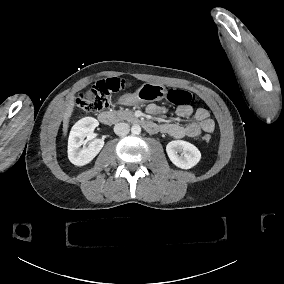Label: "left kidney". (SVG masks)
Segmentation results:
<instances>
[{"label": "left kidney", "mask_w": 284, "mask_h": 284, "mask_svg": "<svg viewBox=\"0 0 284 284\" xmlns=\"http://www.w3.org/2000/svg\"><path fill=\"white\" fill-rule=\"evenodd\" d=\"M185 154H180L181 151ZM166 153L170 161L178 168L188 170L196 166L201 160L200 150L190 142L174 140L166 145Z\"/></svg>", "instance_id": "left-kidney-1"}]
</instances>
